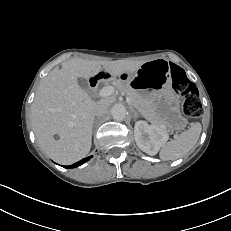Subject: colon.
Returning <instances> with one entry per match:
<instances>
[{
	"instance_id": "obj_1",
	"label": "colon",
	"mask_w": 231,
	"mask_h": 231,
	"mask_svg": "<svg viewBox=\"0 0 231 231\" xmlns=\"http://www.w3.org/2000/svg\"><path fill=\"white\" fill-rule=\"evenodd\" d=\"M173 87L184 96L183 112L189 117H199L202 114V104L195 84L190 81L180 68L173 69Z\"/></svg>"
}]
</instances>
